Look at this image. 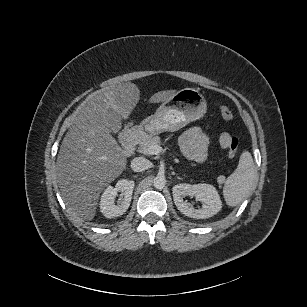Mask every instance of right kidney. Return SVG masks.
<instances>
[{
	"label": "right kidney",
	"mask_w": 307,
	"mask_h": 307,
	"mask_svg": "<svg viewBox=\"0 0 307 307\" xmlns=\"http://www.w3.org/2000/svg\"><path fill=\"white\" fill-rule=\"evenodd\" d=\"M133 189L134 181L129 179L118 180L115 188L112 185H107L99 201V208L103 216L106 218H114L124 214L130 205ZM119 190L124 193V196L119 197V203L116 205L114 197Z\"/></svg>",
	"instance_id": "obj_1"
}]
</instances>
